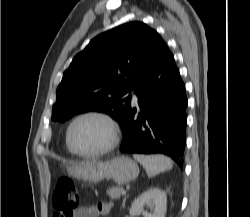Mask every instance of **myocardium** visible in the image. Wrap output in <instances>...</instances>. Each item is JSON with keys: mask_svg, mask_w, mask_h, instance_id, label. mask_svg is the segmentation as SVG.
Returning a JSON list of instances; mask_svg holds the SVG:
<instances>
[{"mask_svg": "<svg viewBox=\"0 0 250 217\" xmlns=\"http://www.w3.org/2000/svg\"><path fill=\"white\" fill-rule=\"evenodd\" d=\"M88 117H94L102 120L108 128L109 137L107 143L102 148L92 152H81L77 150L72 143V138H71L72 130L78 121ZM119 140H120V129L116 120L107 112L97 109L86 110L76 115L70 121L66 130V143L68 148L73 154L83 158H96L106 155L117 147Z\"/></svg>", "mask_w": 250, "mask_h": 217, "instance_id": "obj_1", "label": "myocardium"}]
</instances>
